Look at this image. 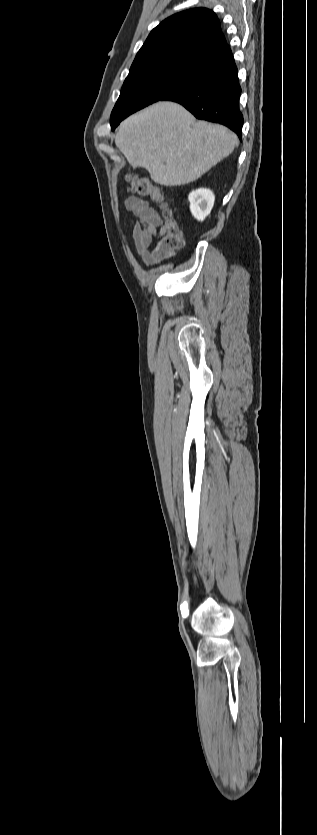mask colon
I'll return each mask as SVG.
<instances>
[{"label":"colon","mask_w":317,"mask_h":835,"mask_svg":"<svg viewBox=\"0 0 317 835\" xmlns=\"http://www.w3.org/2000/svg\"><path fill=\"white\" fill-rule=\"evenodd\" d=\"M128 190L139 196L150 198L153 202L158 204L162 210L165 218L164 234L157 245L158 253L164 257L172 256L179 250L184 242L183 232L172 217L171 209L169 208L165 193L158 187H155L151 182L144 178L135 175H128L126 177Z\"/></svg>","instance_id":"1"}]
</instances>
